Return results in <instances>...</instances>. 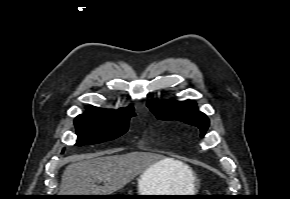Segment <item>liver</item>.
<instances>
[{"mask_svg": "<svg viewBox=\"0 0 290 199\" xmlns=\"http://www.w3.org/2000/svg\"><path fill=\"white\" fill-rule=\"evenodd\" d=\"M157 165L171 177L173 193H193L195 177L183 162L147 152L102 156L74 162L62 175L60 195H110ZM104 181V185H98Z\"/></svg>", "mask_w": 290, "mask_h": 199, "instance_id": "6515ba94", "label": "liver"}]
</instances>
